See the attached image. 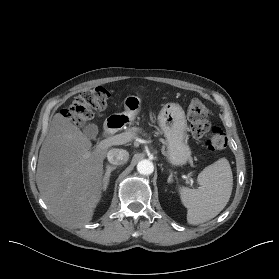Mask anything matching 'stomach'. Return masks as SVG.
<instances>
[{"label": "stomach", "mask_w": 279, "mask_h": 279, "mask_svg": "<svg viewBox=\"0 0 279 279\" xmlns=\"http://www.w3.org/2000/svg\"><path fill=\"white\" fill-rule=\"evenodd\" d=\"M141 107L138 96L129 95L124 100V111L117 115L132 122ZM161 131L166 138V156L172 165H183L191 156V150L186 144L187 120L182 107L176 103H167L158 115Z\"/></svg>", "instance_id": "obj_1"}]
</instances>
